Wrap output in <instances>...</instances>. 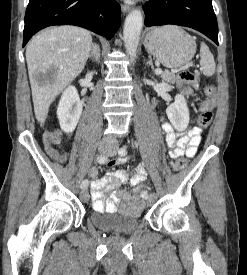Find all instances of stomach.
<instances>
[{
    "instance_id": "obj_1",
    "label": "stomach",
    "mask_w": 247,
    "mask_h": 275,
    "mask_svg": "<svg viewBox=\"0 0 247 275\" xmlns=\"http://www.w3.org/2000/svg\"><path fill=\"white\" fill-rule=\"evenodd\" d=\"M145 48L167 68H178L188 63L196 52L193 37L177 26H163L149 31Z\"/></svg>"
}]
</instances>
